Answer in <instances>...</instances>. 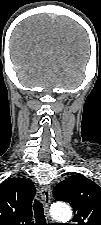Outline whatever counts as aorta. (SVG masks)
Instances as JSON below:
<instances>
[{
    "instance_id": "762f6f07",
    "label": "aorta",
    "mask_w": 101,
    "mask_h": 225,
    "mask_svg": "<svg viewBox=\"0 0 101 225\" xmlns=\"http://www.w3.org/2000/svg\"><path fill=\"white\" fill-rule=\"evenodd\" d=\"M51 215L60 222H67L72 217V211L68 205L58 203L52 206Z\"/></svg>"
}]
</instances>
